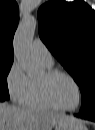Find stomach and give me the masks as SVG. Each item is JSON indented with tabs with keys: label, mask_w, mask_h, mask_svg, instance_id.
<instances>
[{
	"label": "stomach",
	"mask_w": 95,
	"mask_h": 130,
	"mask_svg": "<svg viewBox=\"0 0 95 130\" xmlns=\"http://www.w3.org/2000/svg\"><path fill=\"white\" fill-rule=\"evenodd\" d=\"M54 130H87V128L80 120L70 117L57 123Z\"/></svg>",
	"instance_id": "stomach-1"
}]
</instances>
